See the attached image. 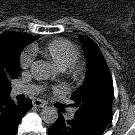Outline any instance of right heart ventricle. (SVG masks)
I'll list each match as a JSON object with an SVG mask.
<instances>
[{
	"mask_svg": "<svg viewBox=\"0 0 135 135\" xmlns=\"http://www.w3.org/2000/svg\"><path fill=\"white\" fill-rule=\"evenodd\" d=\"M31 49L34 53H43L60 70H66L79 58L78 48L69 40L55 39L48 42L44 47L33 44Z\"/></svg>",
	"mask_w": 135,
	"mask_h": 135,
	"instance_id": "1",
	"label": "right heart ventricle"
}]
</instances>
